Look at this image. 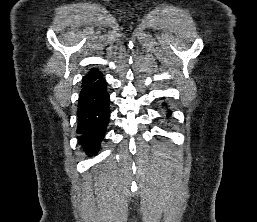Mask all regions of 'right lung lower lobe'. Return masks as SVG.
<instances>
[{"instance_id":"right-lung-lower-lobe-1","label":"right lung lower lobe","mask_w":257,"mask_h":222,"mask_svg":"<svg viewBox=\"0 0 257 222\" xmlns=\"http://www.w3.org/2000/svg\"><path fill=\"white\" fill-rule=\"evenodd\" d=\"M109 94L106 81L99 75L82 84L78 100V141L88 155L96 154L109 121Z\"/></svg>"}]
</instances>
